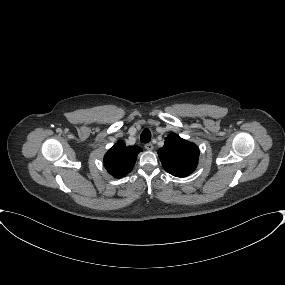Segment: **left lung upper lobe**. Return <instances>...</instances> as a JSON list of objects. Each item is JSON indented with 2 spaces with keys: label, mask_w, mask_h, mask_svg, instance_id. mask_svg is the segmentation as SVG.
I'll list each match as a JSON object with an SVG mask.
<instances>
[{
  "label": "left lung upper lobe",
  "mask_w": 285,
  "mask_h": 285,
  "mask_svg": "<svg viewBox=\"0 0 285 285\" xmlns=\"http://www.w3.org/2000/svg\"><path fill=\"white\" fill-rule=\"evenodd\" d=\"M164 169L173 176L186 177L197 167L199 149L194 144L175 133L165 138V143L158 150Z\"/></svg>",
  "instance_id": "left-lung-upper-lobe-1"
}]
</instances>
